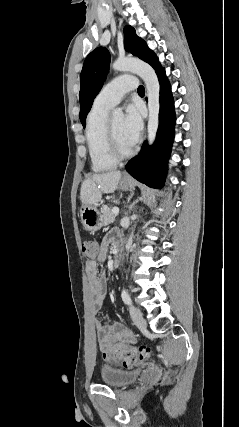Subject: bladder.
I'll return each instance as SVG.
<instances>
[{"mask_svg": "<svg viewBox=\"0 0 239 427\" xmlns=\"http://www.w3.org/2000/svg\"><path fill=\"white\" fill-rule=\"evenodd\" d=\"M139 376L137 370H124L106 367L101 370V380L111 387H123L133 383Z\"/></svg>", "mask_w": 239, "mask_h": 427, "instance_id": "1", "label": "bladder"}]
</instances>
